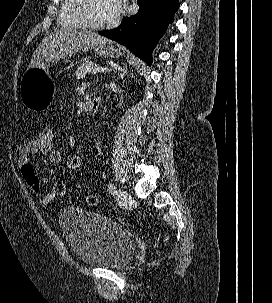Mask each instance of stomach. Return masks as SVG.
<instances>
[{
	"instance_id": "1",
	"label": "stomach",
	"mask_w": 272,
	"mask_h": 303,
	"mask_svg": "<svg viewBox=\"0 0 272 303\" xmlns=\"http://www.w3.org/2000/svg\"><path fill=\"white\" fill-rule=\"evenodd\" d=\"M94 51L102 57L118 58L122 55L120 49L113 45L111 41L101 43L94 48ZM49 66L30 68L22 75L20 97L23 105L28 110L45 109L52 102L54 84L49 75Z\"/></svg>"
}]
</instances>
